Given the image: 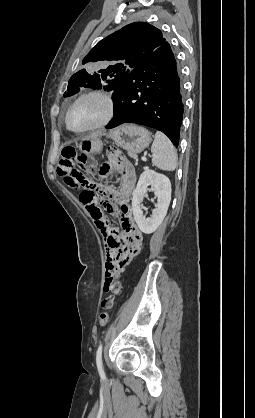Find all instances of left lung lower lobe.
<instances>
[{
    "mask_svg": "<svg viewBox=\"0 0 255 418\" xmlns=\"http://www.w3.org/2000/svg\"><path fill=\"white\" fill-rule=\"evenodd\" d=\"M112 97L114 117L106 128L141 124L163 132L178 145L184 107L182 83L168 42L134 68Z\"/></svg>",
    "mask_w": 255,
    "mask_h": 418,
    "instance_id": "1",
    "label": "left lung lower lobe"
}]
</instances>
